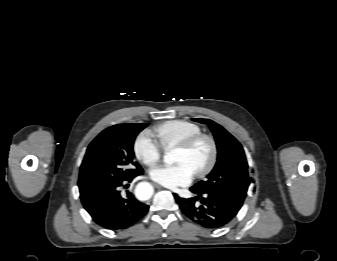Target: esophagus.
<instances>
[{"label": "esophagus", "mask_w": 337, "mask_h": 261, "mask_svg": "<svg viewBox=\"0 0 337 261\" xmlns=\"http://www.w3.org/2000/svg\"><path fill=\"white\" fill-rule=\"evenodd\" d=\"M154 186L157 188V189H163V187L157 183H154Z\"/></svg>", "instance_id": "esophagus-1"}]
</instances>
